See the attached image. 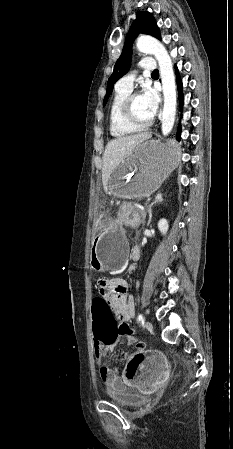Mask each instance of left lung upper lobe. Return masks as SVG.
Listing matches in <instances>:
<instances>
[{"label": "left lung upper lobe", "instance_id": "5c2ea615", "mask_svg": "<svg viewBox=\"0 0 233 449\" xmlns=\"http://www.w3.org/2000/svg\"><path fill=\"white\" fill-rule=\"evenodd\" d=\"M139 33L151 35L159 40L161 39L160 31L156 25V21L150 12H139L136 15V20L130 27L125 40L123 51L116 64L114 65L113 73L108 79L107 93L103 102L104 106L113 91L115 82L127 73L131 65L132 43L139 35Z\"/></svg>", "mask_w": 233, "mask_h": 449}]
</instances>
